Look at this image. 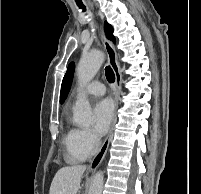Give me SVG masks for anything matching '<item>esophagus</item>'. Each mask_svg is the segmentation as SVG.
Here are the masks:
<instances>
[{
	"label": "esophagus",
	"mask_w": 201,
	"mask_h": 194,
	"mask_svg": "<svg viewBox=\"0 0 201 194\" xmlns=\"http://www.w3.org/2000/svg\"><path fill=\"white\" fill-rule=\"evenodd\" d=\"M100 37L107 54V61L109 65L112 67L115 74V87H114L115 112L113 115V119H112V123L109 129L108 135L105 138L100 150L98 151V153L95 155V157L92 159V161L89 164V169L91 170L96 169L101 164L108 150L109 143L113 134L114 124L116 122V111L119 106V98H120L121 84H122V75L120 71V65L117 59V53L112 42L107 39L104 32L103 25H100Z\"/></svg>",
	"instance_id": "34e87169"
}]
</instances>
